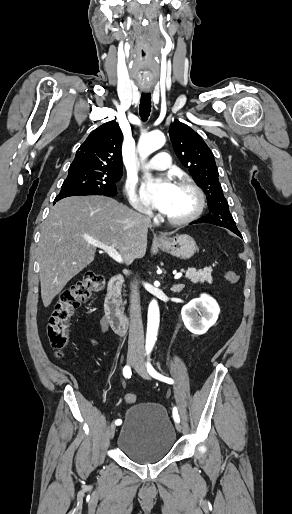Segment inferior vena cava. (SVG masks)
<instances>
[{
	"instance_id": "obj_1",
	"label": "inferior vena cava",
	"mask_w": 292,
	"mask_h": 514,
	"mask_svg": "<svg viewBox=\"0 0 292 514\" xmlns=\"http://www.w3.org/2000/svg\"><path fill=\"white\" fill-rule=\"evenodd\" d=\"M144 218L147 224H151V220L147 212ZM131 294H130V330L128 338V352H134V354H141L144 356V330L141 318L140 308V294L138 288V282H131Z\"/></svg>"
}]
</instances>
